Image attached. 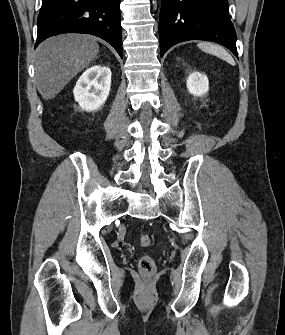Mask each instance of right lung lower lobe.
I'll list each match as a JSON object with an SVG mask.
<instances>
[{
	"instance_id": "1",
	"label": "right lung lower lobe",
	"mask_w": 285,
	"mask_h": 335,
	"mask_svg": "<svg viewBox=\"0 0 285 335\" xmlns=\"http://www.w3.org/2000/svg\"><path fill=\"white\" fill-rule=\"evenodd\" d=\"M120 1L42 0L35 48L54 35L84 33L106 40L123 57Z\"/></svg>"
}]
</instances>
